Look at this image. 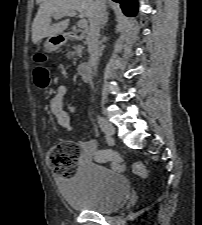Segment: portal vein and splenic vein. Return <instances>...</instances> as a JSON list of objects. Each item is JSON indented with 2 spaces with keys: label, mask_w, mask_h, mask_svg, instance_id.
Here are the masks:
<instances>
[{
  "label": "portal vein and splenic vein",
  "mask_w": 202,
  "mask_h": 225,
  "mask_svg": "<svg viewBox=\"0 0 202 225\" xmlns=\"http://www.w3.org/2000/svg\"><path fill=\"white\" fill-rule=\"evenodd\" d=\"M77 14V12L76 11H68V12H66V13H62V14H54L53 15V17L55 18V19H60V18H62V17H64V16H75ZM87 24H88V22H87V20L86 19H80L79 21H78V27L79 28H85V27H87Z\"/></svg>",
  "instance_id": "18ae733b"
}]
</instances>
